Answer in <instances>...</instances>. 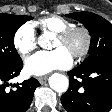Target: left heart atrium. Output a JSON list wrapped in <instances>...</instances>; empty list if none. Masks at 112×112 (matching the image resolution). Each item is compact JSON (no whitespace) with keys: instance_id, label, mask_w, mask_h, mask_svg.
I'll list each match as a JSON object with an SVG mask.
<instances>
[{"instance_id":"1","label":"left heart atrium","mask_w":112,"mask_h":112,"mask_svg":"<svg viewBox=\"0 0 112 112\" xmlns=\"http://www.w3.org/2000/svg\"><path fill=\"white\" fill-rule=\"evenodd\" d=\"M72 64V55L65 48L40 51L25 60V70L30 75H45L53 70L66 69Z\"/></svg>"}]
</instances>
